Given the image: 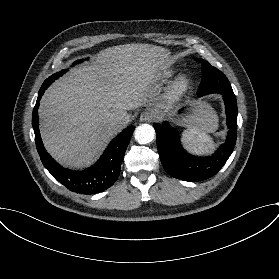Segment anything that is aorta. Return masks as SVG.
Instances as JSON below:
<instances>
[{"mask_svg":"<svg viewBox=\"0 0 279 279\" xmlns=\"http://www.w3.org/2000/svg\"><path fill=\"white\" fill-rule=\"evenodd\" d=\"M135 140L139 144H148L155 138V130L149 124H142L135 129Z\"/></svg>","mask_w":279,"mask_h":279,"instance_id":"obj_1","label":"aorta"}]
</instances>
